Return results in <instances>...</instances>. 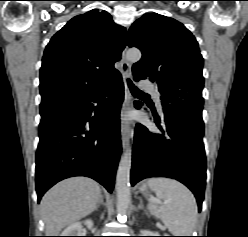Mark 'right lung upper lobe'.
Masks as SVG:
<instances>
[{
	"mask_svg": "<svg viewBox=\"0 0 248 237\" xmlns=\"http://www.w3.org/2000/svg\"><path fill=\"white\" fill-rule=\"evenodd\" d=\"M126 41L125 28L106 11L94 9L72 18L44 51L41 104L82 97L118 77L114 63L120 60Z\"/></svg>",
	"mask_w": 248,
	"mask_h": 237,
	"instance_id": "cb5924a9",
	"label": "right lung upper lobe"
}]
</instances>
